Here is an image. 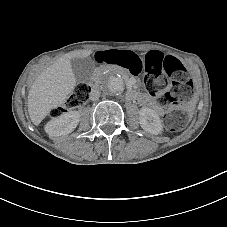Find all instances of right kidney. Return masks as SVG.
Listing matches in <instances>:
<instances>
[{
  "instance_id": "obj_1",
  "label": "right kidney",
  "mask_w": 227,
  "mask_h": 227,
  "mask_svg": "<svg viewBox=\"0 0 227 227\" xmlns=\"http://www.w3.org/2000/svg\"><path fill=\"white\" fill-rule=\"evenodd\" d=\"M80 120L78 111H68L50 120L44 130L49 136L67 135L77 127Z\"/></svg>"
}]
</instances>
